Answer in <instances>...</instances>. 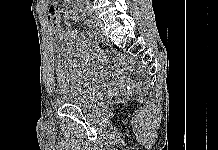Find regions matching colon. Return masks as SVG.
<instances>
[{
  "mask_svg": "<svg viewBox=\"0 0 218 150\" xmlns=\"http://www.w3.org/2000/svg\"><path fill=\"white\" fill-rule=\"evenodd\" d=\"M75 16L72 13H67L65 15V23L67 26H69L70 28L68 29V31L66 32L64 39L67 41H72L75 39L76 37V32L73 28H71V26L75 23Z\"/></svg>",
  "mask_w": 218,
  "mask_h": 150,
  "instance_id": "obj_1",
  "label": "colon"
}]
</instances>
